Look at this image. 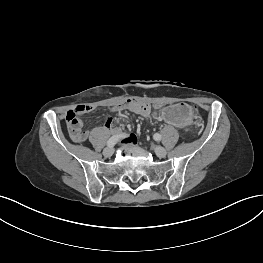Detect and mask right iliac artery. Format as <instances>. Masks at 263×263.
Listing matches in <instances>:
<instances>
[{
    "label": "right iliac artery",
    "mask_w": 263,
    "mask_h": 263,
    "mask_svg": "<svg viewBox=\"0 0 263 263\" xmlns=\"http://www.w3.org/2000/svg\"><path fill=\"white\" fill-rule=\"evenodd\" d=\"M121 137H126V135H125V134H120V135H114V136H112V137L107 141V146H108V147L114 146V145L117 143V141L119 140V138H121Z\"/></svg>",
    "instance_id": "1"
}]
</instances>
